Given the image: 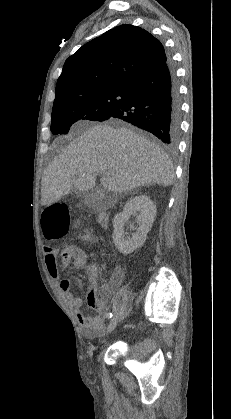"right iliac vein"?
<instances>
[{"mask_svg": "<svg viewBox=\"0 0 231 419\" xmlns=\"http://www.w3.org/2000/svg\"><path fill=\"white\" fill-rule=\"evenodd\" d=\"M117 322H118L117 317H113L110 320V322L108 324V327H107V333H111L115 329V327L117 326Z\"/></svg>", "mask_w": 231, "mask_h": 419, "instance_id": "right-iliac-vein-1", "label": "right iliac vein"}]
</instances>
